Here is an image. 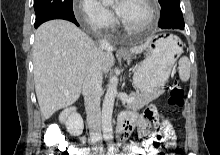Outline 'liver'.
Returning a JSON list of instances; mask_svg holds the SVG:
<instances>
[{
    "mask_svg": "<svg viewBox=\"0 0 220 155\" xmlns=\"http://www.w3.org/2000/svg\"><path fill=\"white\" fill-rule=\"evenodd\" d=\"M95 48V43L81 29L65 20L45 22L36 30L33 74L44 119L78 100L87 70L95 57ZM145 48L134 47L131 52L139 53ZM100 59L102 73L106 74L114 64L112 49H103Z\"/></svg>",
    "mask_w": 220,
    "mask_h": 155,
    "instance_id": "obj_1",
    "label": "liver"
}]
</instances>
